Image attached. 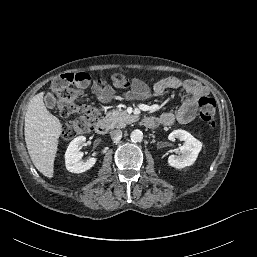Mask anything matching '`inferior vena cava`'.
<instances>
[{"label": "inferior vena cava", "instance_id": "1", "mask_svg": "<svg viewBox=\"0 0 257 257\" xmlns=\"http://www.w3.org/2000/svg\"><path fill=\"white\" fill-rule=\"evenodd\" d=\"M110 136L112 140L119 141L122 138V131L120 129L112 130Z\"/></svg>", "mask_w": 257, "mask_h": 257}]
</instances>
